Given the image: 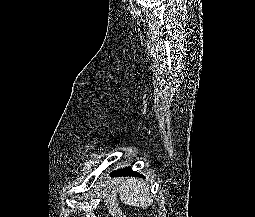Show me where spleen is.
I'll return each mask as SVG.
<instances>
[{
    "label": "spleen",
    "instance_id": "spleen-1",
    "mask_svg": "<svg viewBox=\"0 0 255 217\" xmlns=\"http://www.w3.org/2000/svg\"><path fill=\"white\" fill-rule=\"evenodd\" d=\"M120 199L128 206L147 208L153 203L149 188L136 178H127L118 188Z\"/></svg>",
    "mask_w": 255,
    "mask_h": 217
}]
</instances>
